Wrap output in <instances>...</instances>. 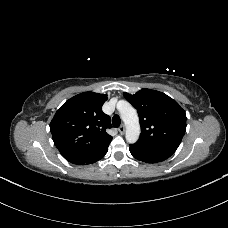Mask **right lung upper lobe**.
<instances>
[{"mask_svg": "<svg viewBox=\"0 0 228 228\" xmlns=\"http://www.w3.org/2000/svg\"><path fill=\"white\" fill-rule=\"evenodd\" d=\"M107 95L84 92L67 100L50 123L53 141L68 160L110 144V117L101 110Z\"/></svg>", "mask_w": 228, "mask_h": 228, "instance_id": "1", "label": "right lung upper lobe"}]
</instances>
